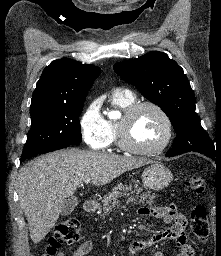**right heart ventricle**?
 Masks as SVG:
<instances>
[{"label":"right heart ventricle","instance_id":"obj_1","mask_svg":"<svg viewBox=\"0 0 221 256\" xmlns=\"http://www.w3.org/2000/svg\"><path fill=\"white\" fill-rule=\"evenodd\" d=\"M111 101L115 107L125 111L130 105L136 102V97L129 91H116L113 93ZM107 123L110 131L111 143L117 142L119 121L110 120L107 121Z\"/></svg>","mask_w":221,"mask_h":256}]
</instances>
